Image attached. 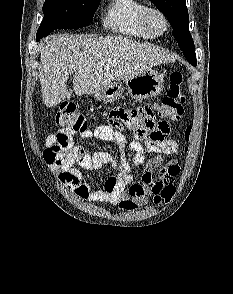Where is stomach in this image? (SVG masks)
Here are the masks:
<instances>
[{
  "label": "stomach",
  "instance_id": "0dacf381",
  "mask_svg": "<svg viewBox=\"0 0 233 294\" xmlns=\"http://www.w3.org/2000/svg\"><path fill=\"white\" fill-rule=\"evenodd\" d=\"M164 76L156 70L149 69L122 82L115 81L106 88L94 94L104 102L111 103L122 97L126 90L129 96L136 100L155 97L163 90Z\"/></svg>",
  "mask_w": 233,
  "mask_h": 294
}]
</instances>
